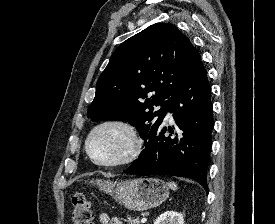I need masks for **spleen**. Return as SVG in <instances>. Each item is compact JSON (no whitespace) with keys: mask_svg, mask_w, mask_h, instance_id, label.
Wrapping results in <instances>:
<instances>
[{"mask_svg":"<svg viewBox=\"0 0 275 224\" xmlns=\"http://www.w3.org/2000/svg\"><path fill=\"white\" fill-rule=\"evenodd\" d=\"M168 186L172 189V190H177V184L174 182H169Z\"/></svg>","mask_w":275,"mask_h":224,"instance_id":"obj_1","label":"spleen"}]
</instances>
